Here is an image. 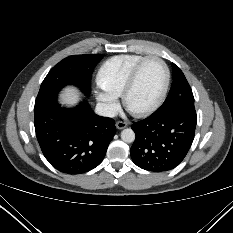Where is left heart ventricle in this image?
Returning a JSON list of instances; mask_svg holds the SVG:
<instances>
[{"mask_svg":"<svg viewBox=\"0 0 233 233\" xmlns=\"http://www.w3.org/2000/svg\"><path fill=\"white\" fill-rule=\"evenodd\" d=\"M165 81L162 65L156 60L147 61L141 68L136 84L128 96L131 110L150 106L159 97Z\"/></svg>","mask_w":233,"mask_h":233,"instance_id":"obj_1","label":"left heart ventricle"}]
</instances>
